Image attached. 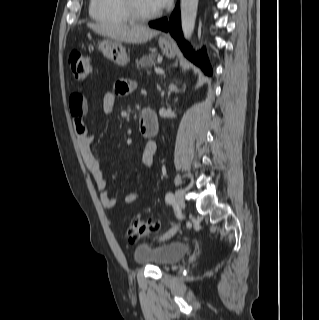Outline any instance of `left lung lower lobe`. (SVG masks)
I'll list each match as a JSON object with an SVG mask.
<instances>
[{
  "mask_svg": "<svg viewBox=\"0 0 319 320\" xmlns=\"http://www.w3.org/2000/svg\"><path fill=\"white\" fill-rule=\"evenodd\" d=\"M149 26L152 28L163 30L165 32H170L171 35L176 39L179 47L183 50L185 55L189 57L194 63L199 65L207 74H211V68L209 66L205 51L202 50L198 54L193 53L192 49L182 37L180 10L178 3L169 20H167V18H163L160 20L152 21L149 23Z\"/></svg>",
  "mask_w": 319,
  "mask_h": 320,
  "instance_id": "left-lung-lower-lobe-1",
  "label": "left lung lower lobe"
}]
</instances>
